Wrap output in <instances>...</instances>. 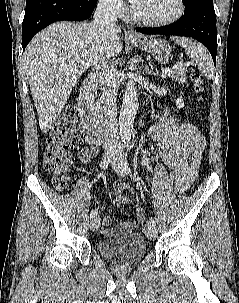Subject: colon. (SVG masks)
Here are the masks:
<instances>
[{"mask_svg": "<svg viewBox=\"0 0 239 303\" xmlns=\"http://www.w3.org/2000/svg\"><path fill=\"white\" fill-rule=\"evenodd\" d=\"M204 77L201 73L192 75V84L197 93L203 90ZM78 125V110L68 105L54 125L48 138L47 151L44 155L43 167L52 176V184L58 191L65 190L70 184V170L73 159L70 151L74 147ZM128 203L126 196L118 198V205L124 207Z\"/></svg>", "mask_w": 239, "mask_h": 303, "instance_id": "5ec220e1", "label": "colon"}]
</instances>
